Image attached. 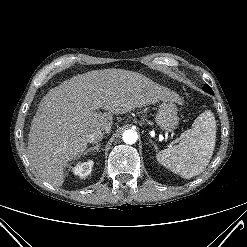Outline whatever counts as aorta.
Masks as SVG:
<instances>
[{
    "label": "aorta",
    "mask_w": 247,
    "mask_h": 247,
    "mask_svg": "<svg viewBox=\"0 0 247 247\" xmlns=\"http://www.w3.org/2000/svg\"><path fill=\"white\" fill-rule=\"evenodd\" d=\"M122 138L126 144H134L138 139V135L136 131L129 129L124 131Z\"/></svg>",
    "instance_id": "762f6f07"
}]
</instances>
